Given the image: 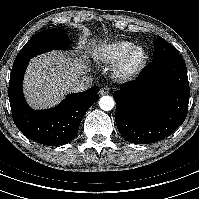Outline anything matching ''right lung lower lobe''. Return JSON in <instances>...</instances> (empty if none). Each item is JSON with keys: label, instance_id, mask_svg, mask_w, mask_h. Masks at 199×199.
<instances>
[{"label": "right lung lower lobe", "instance_id": "right-lung-lower-lobe-1", "mask_svg": "<svg viewBox=\"0 0 199 199\" xmlns=\"http://www.w3.org/2000/svg\"><path fill=\"white\" fill-rule=\"evenodd\" d=\"M29 60L13 65L9 83V101L17 128L31 140L47 146L69 143L77 134L86 111L99 99L98 87L68 95L49 110H32L22 93L23 76Z\"/></svg>", "mask_w": 199, "mask_h": 199}]
</instances>
